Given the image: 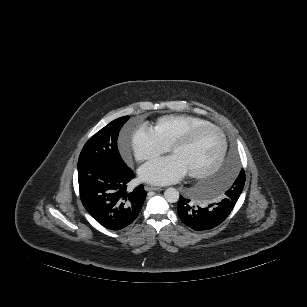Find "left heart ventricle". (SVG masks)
<instances>
[{"label":"left heart ventricle","instance_id":"obj_1","mask_svg":"<svg viewBox=\"0 0 307 307\" xmlns=\"http://www.w3.org/2000/svg\"><path fill=\"white\" fill-rule=\"evenodd\" d=\"M221 146V137L217 131L206 129L190 144L176 148L171 154L183 164L187 173L199 172L214 166Z\"/></svg>","mask_w":307,"mask_h":307}]
</instances>
